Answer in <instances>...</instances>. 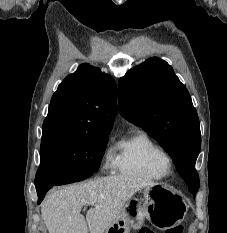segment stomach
Wrapping results in <instances>:
<instances>
[{
    "mask_svg": "<svg viewBox=\"0 0 227 233\" xmlns=\"http://www.w3.org/2000/svg\"><path fill=\"white\" fill-rule=\"evenodd\" d=\"M187 209L184 198L167 186L146 187L143 197L128 201L104 233H129L130 228H140L145 219L158 228L169 230L184 220Z\"/></svg>",
    "mask_w": 227,
    "mask_h": 233,
    "instance_id": "1",
    "label": "stomach"
}]
</instances>
